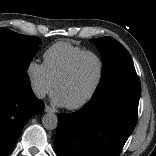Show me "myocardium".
Listing matches in <instances>:
<instances>
[{
    "instance_id": "obj_1",
    "label": "myocardium",
    "mask_w": 156,
    "mask_h": 156,
    "mask_svg": "<svg viewBox=\"0 0 156 156\" xmlns=\"http://www.w3.org/2000/svg\"><path fill=\"white\" fill-rule=\"evenodd\" d=\"M89 55L94 56L99 61L100 73H99L98 80H97L95 86L93 87V89L90 91V93L84 99H82L78 103H75V104H72V105H65V107L67 109L77 110V109H80V108L86 106L90 101L93 100V98L96 96V94L98 93V91L100 90V88L102 86V83H103V80H104V77H105V61H104L103 57L98 52L93 51V50H86V51H83V52L79 53L77 56H75L72 59V61L67 66L66 70L63 72V74L55 82L54 91L56 93L59 86L62 83H64L67 79H69V77L72 75L77 63L83 57L89 56Z\"/></svg>"
}]
</instances>
